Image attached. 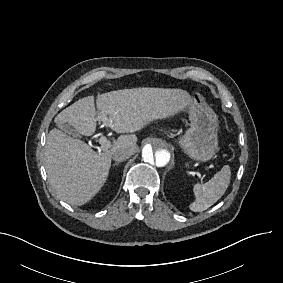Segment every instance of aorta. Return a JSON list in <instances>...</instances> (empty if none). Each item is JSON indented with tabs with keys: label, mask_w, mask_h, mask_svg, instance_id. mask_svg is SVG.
Here are the masks:
<instances>
[{
	"label": "aorta",
	"mask_w": 283,
	"mask_h": 283,
	"mask_svg": "<svg viewBox=\"0 0 283 283\" xmlns=\"http://www.w3.org/2000/svg\"><path fill=\"white\" fill-rule=\"evenodd\" d=\"M142 160L151 170L166 169L171 164L172 147L162 138L149 137L143 145Z\"/></svg>",
	"instance_id": "aorta-1"
}]
</instances>
